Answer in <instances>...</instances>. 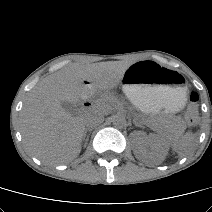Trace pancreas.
Returning a JSON list of instances; mask_svg holds the SVG:
<instances>
[{"label":"pancreas","instance_id":"cf45deb5","mask_svg":"<svg viewBox=\"0 0 212 212\" xmlns=\"http://www.w3.org/2000/svg\"><path fill=\"white\" fill-rule=\"evenodd\" d=\"M103 100L111 105H115L117 103V100L112 96H105Z\"/></svg>","mask_w":212,"mask_h":212}]
</instances>
